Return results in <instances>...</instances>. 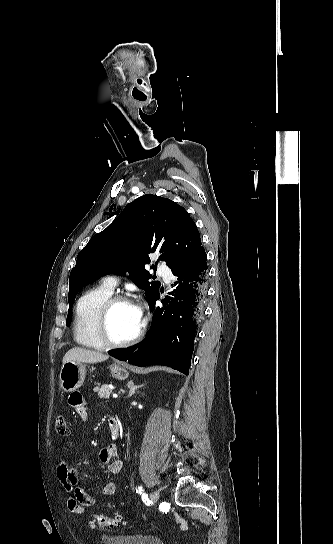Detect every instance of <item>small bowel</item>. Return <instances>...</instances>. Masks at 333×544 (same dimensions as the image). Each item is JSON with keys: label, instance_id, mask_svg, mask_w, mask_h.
<instances>
[{"label": "small bowel", "instance_id": "obj_1", "mask_svg": "<svg viewBox=\"0 0 333 544\" xmlns=\"http://www.w3.org/2000/svg\"><path fill=\"white\" fill-rule=\"evenodd\" d=\"M69 405L74 409L75 413L81 420L88 418L87 403L83 395L79 392H73L68 399ZM110 436L116 440L120 434V424L115 418L108 421ZM119 455V447L113 442L102 448L99 452V461L112 474H118L122 471L123 461L116 459ZM57 477L68 493V509L72 514L82 515L85 510L92 507L96 500L87 494L81 487L78 486V473L74 468L62 461L57 468ZM116 491V485L113 482H108L102 489L104 496H111Z\"/></svg>", "mask_w": 333, "mask_h": 544}]
</instances>
